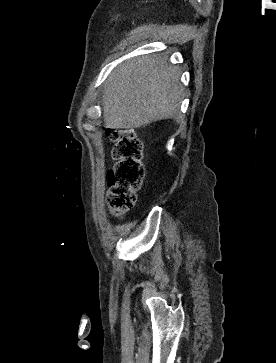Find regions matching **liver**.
I'll return each mask as SVG.
<instances>
[{
  "label": "liver",
  "instance_id": "6515ba94",
  "mask_svg": "<svg viewBox=\"0 0 276 363\" xmlns=\"http://www.w3.org/2000/svg\"><path fill=\"white\" fill-rule=\"evenodd\" d=\"M178 68L164 58L144 56L120 65L103 95L106 128H139L178 116L183 88Z\"/></svg>",
  "mask_w": 276,
  "mask_h": 363
}]
</instances>
